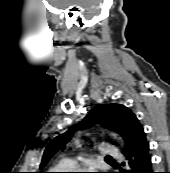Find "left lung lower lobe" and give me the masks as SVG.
Wrapping results in <instances>:
<instances>
[{"label": "left lung lower lobe", "instance_id": "obj_1", "mask_svg": "<svg viewBox=\"0 0 170 173\" xmlns=\"http://www.w3.org/2000/svg\"><path fill=\"white\" fill-rule=\"evenodd\" d=\"M127 165L122 163L120 173H153L151 157L149 154V143L144 141L133 149L123 152Z\"/></svg>", "mask_w": 170, "mask_h": 173}]
</instances>
